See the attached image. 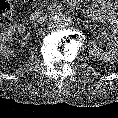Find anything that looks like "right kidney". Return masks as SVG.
<instances>
[{
    "label": "right kidney",
    "instance_id": "obj_1",
    "mask_svg": "<svg viewBox=\"0 0 118 118\" xmlns=\"http://www.w3.org/2000/svg\"><path fill=\"white\" fill-rule=\"evenodd\" d=\"M24 32H25V26L22 24H16L8 28H5L0 33V53L4 56L13 55L14 51L8 47L7 42L13 35L15 34L22 35Z\"/></svg>",
    "mask_w": 118,
    "mask_h": 118
}]
</instances>
